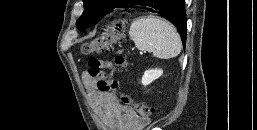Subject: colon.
I'll list each match as a JSON object with an SVG mask.
<instances>
[{
    "label": "colon",
    "instance_id": "colon-1",
    "mask_svg": "<svg viewBox=\"0 0 257 130\" xmlns=\"http://www.w3.org/2000/svg\"><path fill=\"white\" fill-rule=\"evenodd\" d=\"M126 19L119 18L109 25V27L95 37L91 41L84 43L81 47V52L85 55L99 53L107 48H110L113 43H117L125 35ZM88 73L93 78L97 79V88L101 92H119L121 102L126 105H132L138 115L148 120L152 114V109L142 102H135L132 97L126 93L119 91V82L107 73L109 68H117L126 70L129 67V61L122 50H119L112 60H102L97 57H92L89 60Z\"/></svg>",
    "mask_w": 257,
    "mask_h": 130
}]
</instances>
